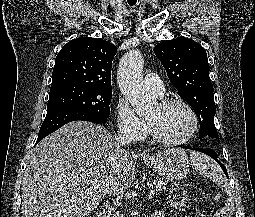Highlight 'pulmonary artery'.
<instances>
[{
    "label": "pulmonary artery",
    "mask_w": 255,
    "mask_h": 217,
    "mask_svg": "<svg viewBox=\"0 0 255 217\" xmlns=\"http://www.w3.org/2000/svg\"><path fill=\"white\" fill-rule=\"evenodd\" d=\"M144 86L146 90L161 97L164 93V83L161 77L155 73H149L144 78Z\"/></svg>",
    "instance_id": "pulmonary-artery-1"
}]
</instances>
